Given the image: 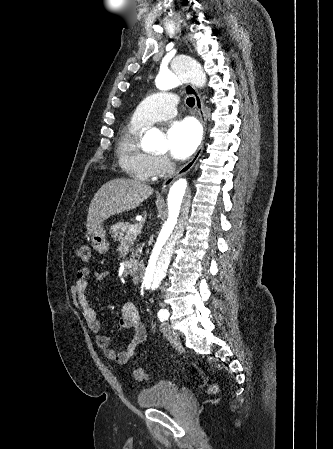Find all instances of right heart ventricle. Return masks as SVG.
Instances as JSON below:
<instances>
[{"instance_id":"e07e8e85","label":"right heart ventricle","mask_w":333,"mask_h":449,"mask_svg":"<svg viewBox=\"0 0 333 449\" xmlns=\"http://www.w3.org/2000/svg\"><path fill=\"white\" fill-rule=\"evenodd\" d=\"M147 126L132 118L118 135L116 153L122 167L134 178L149 181L156 177L153 157L141 146Z\"/></svg>"}]
</instances>
